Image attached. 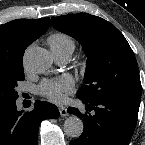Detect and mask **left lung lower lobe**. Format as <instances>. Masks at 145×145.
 <instances>
[{
	"label": "left lung lower lobe",
	"mask_w": 145,
	"mask_h": 145,
	"mask_svg": "<svg viewBox=\"0 0 145 145\" xmlns=\"http://www.w3.org/2000/svg\"><path fill=\"white\" fill-rule=\"evenodd\" d=\"M78 98L93 113L82 114L76 108H68L84 124L83 133L70 145H128L136 127L141 94L116 95L96 101Z\"/></svg>",
	"instance_id": "left-lung-lower-lobe-1"
}]
</instances>
